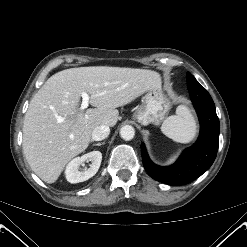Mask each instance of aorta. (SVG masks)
I'll list each match as a JSON object with an SVG mask.
<instances>
[{
	"label": "aorta",
	"instance_id": "obj_1",
	"mask_svg": "<svg viewBox=\"0 0 247 247\" xmlns=\"http://www.w3.org/2000/svg\"><path fill=\"white\" fill-rule=\"evenodd\" d=\"M135 135V130L131 125H125L120 129V136L124 140H131Z\"/></svg>",
	"mask_w": 247,
	"mask_h": 247
}]
</instances>
